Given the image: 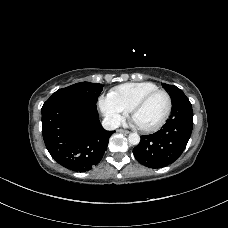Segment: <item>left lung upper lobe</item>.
Wrapping results in <instances>:
<instances>
[{
    "label": "left lung upper lobe",
    "instance_id": "5c2ea615",
    "mask_svg": "<svg viewBox=\"0 0 228 228\" xmlns=\"http://www.w3.org/2000/svg\"><path fill=\"white\" fill-rule=\"evenodd\" d=\"M163 87L169 92L171 99H172V105H176L180 101L187 98L185 96V94L183 93V91L174 85H168V84L163 83Z\"/></svg>",
    "mask_w": 228,
    "mask_h": 228
}]
</instances>
